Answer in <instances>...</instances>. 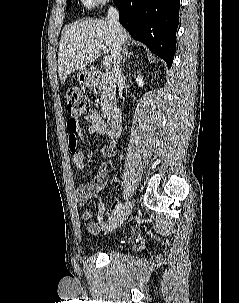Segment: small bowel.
<instances>
[{
    "label": "small bowel",
    "instance_id": "small-bowel-1",
    "mask_svg": "<svg viewBox=\"0 0 239 303\" xmlns=\"http://www.w3.org/2000/svg\"><path fill=\"white\" fill-rule=\"evenodd\" d=\"M69 121H71V119ZM69 121L67 122V130L69 133V149L72 154L71 161L75 170L82 171L85 168L84 151L82 149H77L78 143H80L83 139L81 132L82 121L89 123V126L87 127L88 134H100L108 137V144L102 148V153L107 157H111L115 154L116 139L108 134L105 123L97 112L92 111L82 119H75L74 122L76 124V129L74 133H72L69 129ZM108 175L109 167L107 164H103L100 166L96 176L92 180L87 182H80L77 187V195L80 205H85L92 198H95L97 200L98 222L91 221L93 218V211L91 209H85L81 213L82 219L87 222V230L92 234H98L101 228L108 225L104 219L106 211L105 204L99 197V191L106 183Z\"/></svg>",
    "mask_w": 239,
    "mask_h": 303
}]
</instances>
